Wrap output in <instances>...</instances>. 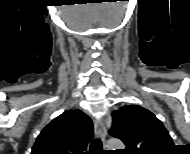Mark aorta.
I'll return each instance as SVG.
<instances>
[{
	"label": "aorta",
	"mask_w": 190,
	"mask_h": 154,
	"mask_svg": "<svg viewBox=\"0 0 190 154\" xmlns=\"http://www.w3.org/2000/svg\"><path fill=\"white\" fill-rule=\"evenodd\" d=\"M106 147H107L108 150L123 149L124 148V144L119 139H110L107 142V146Z\"/></svg>",
	"instance_id": "aorta-1"
}]
</instances>
